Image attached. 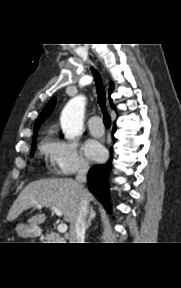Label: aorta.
Wrapping results in <instances>:
<instances>
[{
  "label": "aorta",
  "mask_w": 181,
  "mask_h": 288,
  "mask_svg": "<svg viewBox=\"0 0 181 288\" xmlns=\"http://www.w3.org/2000/svg\"><path fill=\"white\" fill-rule=\"evenodd\" d=\"M86 99L79 95L72 98L64 107L60 123L66 139H73L82 134Z\"/></svg>",
  "instance_id": "aorta-1"
}]
</instances>
